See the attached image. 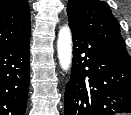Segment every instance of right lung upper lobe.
Listing matches in <instances>:
<instances>
[{
    "mask_svg": "<svg viewBox=\"0 0 131 115\" xmlns=\"http://www.w3.org/2000/svg\"><path fill=\"white\" fill-rule=\"evenodd\" d=\"M30 36L27 0H0V49L21 43Z\"/></svg>",
    "mask_w": 131,
    "mask_h": 115,
    "instance_id": "cb5924a9",
    "label": "right lung upper lobe"
}]
</instances>
